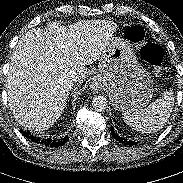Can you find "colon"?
Instances as JSON below:
<instances>
[{
	"label": "colon",
	"instance_id": "obj_1",
	"mask_svg": "<svg viewBox=\"0 0 183 183\" xmlns=\"http://www.w3.org/2000/svg\"><path fill=\"white\" fill-rule=\"evenodd\" d=\"M126 37L135 43L142 59L150 64L155 74H160L164 58L161 46L146 40V32L142 26H130L125 31Z\"/></svg>",
	"mask_w": 183,
	"mask_h": 183
}]
</instances>
